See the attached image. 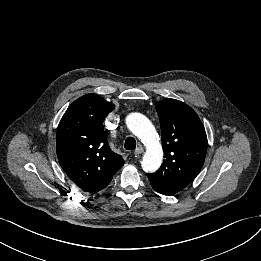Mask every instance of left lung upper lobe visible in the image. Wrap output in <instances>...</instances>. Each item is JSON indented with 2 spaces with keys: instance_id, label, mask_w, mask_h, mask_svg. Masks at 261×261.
<instances>
[{
  "instance_id": "1",
  "label": "left lung upper lobe",
  "mask_w": 261,
  "mask_h": 261,
  "mask_svg": "<svg viewBox=\"0 0 261 261\" xmlns=\"http://www.w3.org/2000/svg\"><path fill=\"white\" fill-rule=\"evenodd\" d=\"M162 133L164 161L147 174L151 186L164 195L183 190L200 172L207 151L205 128L185 103L167 98L156 104Z\"/></svg>"
}]
</instances>
